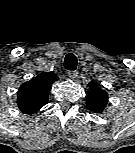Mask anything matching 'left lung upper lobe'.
I'll use <instances>...</instances> for the list:
<instances>
[{"instance_id":"obj_1","label":"left lung upper lobe","mask_w":135,"mask_h":153,"mask_svg":"<svg viewBox=\"0 0 135 153\" xmlns=\"http://www.w3.org/2000/svg\"><path fill=\"white\" fill-rule=\"evenodd\" d=\"M89 87L90 91L86 92L87 108L94 113H102L108 101V94L94 82H90Z\"/></svg>"}]
</instances>
